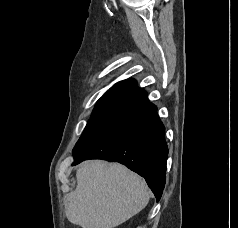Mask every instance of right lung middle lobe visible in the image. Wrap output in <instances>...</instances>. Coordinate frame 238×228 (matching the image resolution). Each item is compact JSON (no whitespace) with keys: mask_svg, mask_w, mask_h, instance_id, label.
Returning <instances> with one entry per match:
<instances>
[{"mask_svg":"<svg viewBox=\"0 0 238 228\" xmlns=\"http://www.w3.org/2000/svg\"><path fill=\"white\" fill-rule=\"evenodd\" d=\"M116 115L102 116V115H91L90 120L88 121L85 130L79 140L76 143V146L73 149L75 152L89 140H91L95 135L101 132L105 127H107L111 122L118 119Z\"/></svg>","mask_w":238,"mask_h":228,"instance_id":"dd1d6c3e","label":"right lung middle lobe"}]
</instances>
